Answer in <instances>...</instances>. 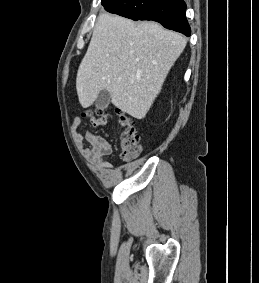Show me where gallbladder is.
I'll return each mask as SVG.
<instances>
[{
    "instance_id": "1",
    "label": "gallbladder",
    "mask_w": 259,
    "mask_h": 283,
    "mask_svg": "<svg viewBox=\"0 0 259 283\" xmlns=\"http://www.w3.org/2000/svg\"><path fill=\"white\" fill-rule=\"evenodd\" d=\"M110 100H111L110 93L107 90H102L95 101L96 109L98 110L105 109L109 105Z\"/></svg>"
}]
</instances>
